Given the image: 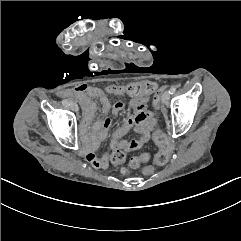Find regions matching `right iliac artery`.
<instances>
[{"mask_svg": "<svg viewBox=\"0 0 241 241\" xmlns=\"http://www.w3.org/2000/svg\"><path fill=\"white\" fill-rule=\"evenodd\" d=\"M63 103H64L65 105H69V102H67V101H65V100H63Z\"/></svg>", "mask_w": 241, "mask_h": 241, "instance_id": "right-iliac-artery-1", "label": "right iliac artery"}]
</instances>
